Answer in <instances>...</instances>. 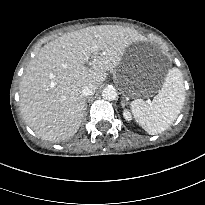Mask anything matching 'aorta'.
I'll return each mask as SVG.
<instances>
[{"label":"aorta","instance_id":"aorta-1","mask_svg":"<svg viewBox=\"0 0 205 205\" xmlns=\"http://www.w3.org/2000/svg\"><path fill=\"white\" fill-rule=\"evenodd\" d=\"M102 97L108 101L115 100L117 98V91L113 86H107L102 91Z\"/></svg>","mask_w":205,"mask_h":205}]
</instances>
